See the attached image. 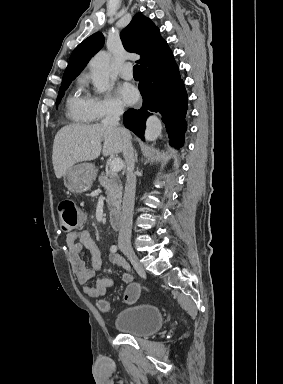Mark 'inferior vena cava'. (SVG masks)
I'll use <instances>...</instances> for the list:
<instances>
[{
  "label": "inferior vena cava",
  "instance_id": "inferior-vena-cava-1",
  "mask_svg": "<svg viewBox=\"0 0 283 384\" xmlns=\"http://www.w3.org/2000/svg\"><path fill=\"white\" fill-rule=\"evenodd\" d=\"M124 114V108L121 104H110L107 108L106 116L102 120L104 126H113L117 128L122 136L123 144V158L127 164V180L125 184V192L123 196L121 226L118 236L119 248H130L131 244V230L132 218L134 210L135 190H136V176L134 174L135 158L134 150L131 144V136L125 128H119L120 116Z\"/></svg>",
  "mask_w": 283,
  "mask_h": 384
}]
</instances>
